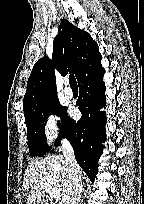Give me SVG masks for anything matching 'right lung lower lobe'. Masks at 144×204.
Returning a JSON list of instances; mask_svg holds the SVG:
<instances>
[{
  "label": "right lung lower lobe",
  "mask_w": 144,
  "mask_h": 204,
  "mask_svg": "<svg viewBox=\"0 0 144 204\" xmlns=\"http://www.w3.org/2000/svg\"><path fill=\"white\" fill-rule=\"evenodd\" d=\"M104 73L99 62L78 80L80 92L76 105L82 117L75 121L67 115L57 140L60 143L61 138L66 137L70 141L78 164L92 182L98 173V160L103 152L101 143L106 140L104 126L107 118L105 112L100 111L106 105Z\"/></svg>",
  "instance_id": "right-lung-lower-lobe-1"
}]
</instances>
